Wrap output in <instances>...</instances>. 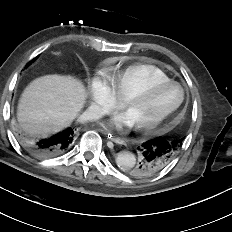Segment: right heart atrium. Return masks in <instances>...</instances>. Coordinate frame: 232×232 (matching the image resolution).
<instances>
[{"label":"right heart atrium","mask_w":232,"mask_h":232,"mask_svg":"<svg viewBox=\"0 0 232 232\" xmlns=\"http://www.w3.org/2000/svg\"><path fill=\"white\" fill-rule=\"evenodd\" d=\"M89 114L92 118H100L110 114L121 106L104 73L95 76L89 86Z\"/></svg>","instance_id":"obj_1"}]
</instances>
